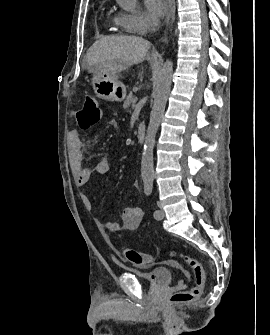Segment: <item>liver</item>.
<instances>
[{
	"instance_id": "obj_1",
	"label": "liver",
	"mask_w": 270,
	"mask_h": 335,
	"mask_svg": "<svg viewBox=\"0 0 270 335\" xmlns=\"http://www.w3.org/2000/svg\"><path fill=\"white\" fill-rule=\"evenodd\" d=\"M150 46V42L138 36H106L89 48L87 64L93 72L104 68L115 78L133 64L143 62Z\"/></svg>"
}]
</instances>
